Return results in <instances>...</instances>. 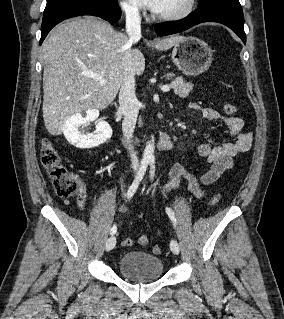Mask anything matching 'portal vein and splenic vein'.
<instances>
[{
	"mask_svg": "<svg viewBox=\"0 0 284 319\" xmlns=\"http://www.w3.org/2000/svg\"><path fill=\"white\" fill-rule=\"evenodd\" d=\"M89 76L92 77V78H94V79L99 80V83H100L101 85H104V84H106V82H107V80L104 79V78H103L102 76H100V75L91 74V75H89ZM170 89H171V85H164V86L161 87V91H163V92H168V91H170Z\"/></svg>",
	"mask_w": 284,
	"mask_h": 319,
	"instance_id": "18ae733b",
	"label": "portal vein and splenic vein"
}]
</instances>
